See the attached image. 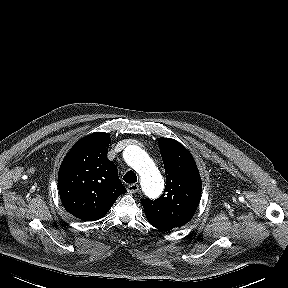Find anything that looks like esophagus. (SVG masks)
I'll return each mask as SVG.
<instances>
[{
  "label": "esophagus",
  "mask_w": 288,
  "mask_h": 288,
  "mask_svg": "<svg viewBox=\"0 0 288 288\" xmlns=\"http://www.w3.org/2000/svg\"><path fill=\"white\" fill-rule=\"evenodd\" d=\"M139 190V185L138 184H130L127 186V191L129 193H136Z\"/></svg>",
  "instance_id": "1"
}]
</instances>
